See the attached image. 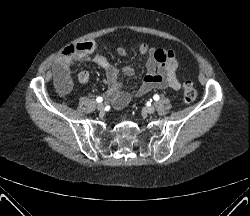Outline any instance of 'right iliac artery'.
Instances as JSON below:
<instances>
[{
    "label": "right iliac artery",
    "instance_id": "82829eb1",
    "mask_svg": "<svg viewBox=\"0 0 250 216\" xmlns=\"http://www.w3.org/2000/svg\"><path fill=\"white\" fill-rule=\"evenodd\" d=\"M96 101H97L98 103H101V102L103 101V98H102V97H97Z\"/></svg>",
    "mask_w": 250,
    "mask_h": 216
}]
</instances>
